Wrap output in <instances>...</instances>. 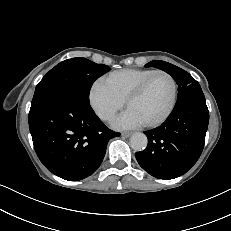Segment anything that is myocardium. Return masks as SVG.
Masks as SVG:
<instances>
[{
  "label": "myocardium",
  "mask_w": 231,
  "mask_h": 231,
  "mask_svg": "<svg viewBox=\"0 0 231 231\" xmlns=\"http://www.w3.org/2000/svg\"><path fill=\"white\" fill-rule=\"evenodd\" d=\"M157 74H163L165 76H167L171 82H172V86H173V94H172V100L170 103L169 108L167 109V111L158 119L151 121V122H146L144 123V126L146 127H158L160 125H162L164 122H166L169 117L172 115V113L175 110L176 104H177V100H178V83L176 78L169 73L168 71L162 70V69H157L152 71L148 76H146L132 91L131 93L127 96V98L125 99V106L128 107V105L135 100L136 98H138L144 91L145 87L147 86V84L149 83V81Z\"/></svg>",
  "instance_id": "myocardium-1"
}]
</instances>
